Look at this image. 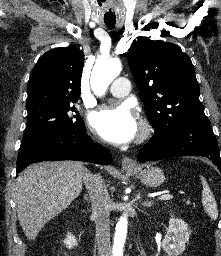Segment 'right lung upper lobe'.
<instances>
[{
  "label": "right lung upper lobe",
  "instance_id": "right-lung-upper-lobe-1",
  "mask_svg": "<svg viewBox=\"0 0 221 256\" xmlns=\"http://www.w3.org/2000/svg\"><path fill=\"white\" fill-rule=\"evenodd\" d=\"M84 53L74 47L46 52L34 66L27 88L26 108L42 104H72L80 96Z\"/></svg>",
  "mask_w": 221,
  "mask_h": 256
}]
</instances>
